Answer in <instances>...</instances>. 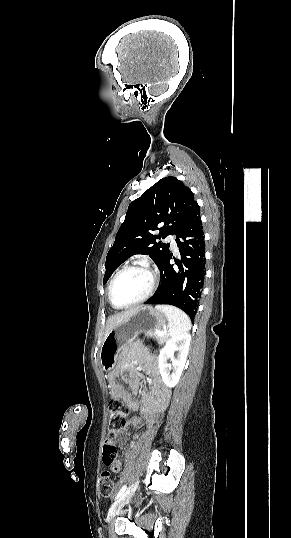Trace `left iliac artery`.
I'll use <instances>...</instances> for the list:
<instances>
[{"label": "left iliac artery", "instance_id": "44dca946", "mask_svg": "<svg viewBox=\"0 0 291 538\" xmlns=\"http://www.w3.org/2000/svg\"><path fill=\"white\" fill-rule=\"evenodd\" d=\"M125 490H126V485L122 486V488L119 490L117 496L115 497V501L124 494Z\"/></svg>", "mask_w": 291, "mask_h": 538}]
</instances>
